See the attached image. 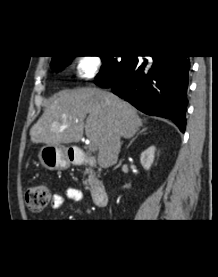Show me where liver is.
Returning a JSON list of instances; mask_svg holds the SVG:
<instances>
[{
    "mask_svg": "<svg viewBox=\"0 0 218 277\" xmlns=\"http://www.w3.org/2000/svg\"><path fill=\"white\" fill-rule=\"evenodd\" d=\"M86 119V121H85ZM142 126L137 110L116 95L96 88L64 90L46 107L30 130L33 143L61 146L85 134L98 149V164H116L121 138L133 137Z\"/></svg>",
    "mask_w": 218,
    "mask_h": 277,
    "instance_id": "liver-1",
    "label": "liver"
}]
</instances>
